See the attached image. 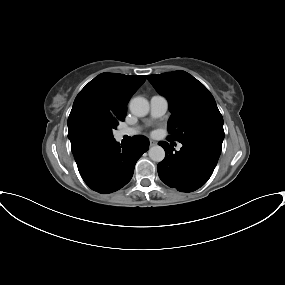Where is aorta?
Masks as SVG:
<instances>
[{"mask_svg": "<svg viewBox=\"0 0 285 285\" xmlns=\"http://www.w3.org/2000/svg\"><path fill=\"white\" fill-rule=\"evenodd\" d=\"M129 108L135 116L143 117L148 114L150 107L147 99L144 97H135L131 99ZM148 154L150 159L155 162H161L165 158V151L159 145L151 147Z\"/></svg>", "mask_w": 285, "mask_h": 285, "instance_id": "aorta-1", "label": "aorta"}]
</instances>
